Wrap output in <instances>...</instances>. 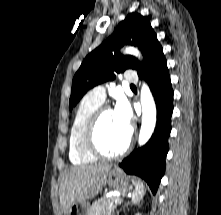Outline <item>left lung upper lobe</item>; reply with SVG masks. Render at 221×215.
<instances>
[{"label":"left lung upper lobe","mask_w":221,"mask_h":215,"mask_svg":"<svg viewBox=\"0 0 221 215\" xmlns=\"http://www.w3.org/2000/svg\"><path fill=\"white\" fill-rule=\"evenodd\" d=\"M127 44L141 50L144 58L142 63L133 56L120 54V48ZM161 49L149 20L141 14L130 13L113 34L83 60L73 78L70 110L89 89L113 80L115 73L136 69L139 75L142 74Z\"/></svg>","instance_id":"left-lung-upper-lobe-1"}]
</instances>
